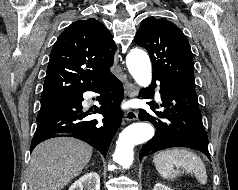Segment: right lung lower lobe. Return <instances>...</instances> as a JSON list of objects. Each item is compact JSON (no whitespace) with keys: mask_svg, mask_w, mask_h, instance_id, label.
<instances>
[{"mask_svg":"<svg viewBox=\"0 0 238 190\" xmlns=\"http://www.w3.org/2000/svg\"><path fill=\"white\" fill-rule=\"evenodd\" d=\"M86 91L101 94L98 98L101 106H95L93 114H102V120H91L87 118L90 113L82 111V95ZM122 99L123 85L118 78L110 74L86 87L70 101L40 110L30 150L54 134L73 133L106 157L112 137L121 125L122 112L119 105Z\"/></svg>","mask_w":238,"mask_h":190,"instance_id":"right-lung-lower-lobe-1","label":"right lung lower lobe"}]
</instances>
